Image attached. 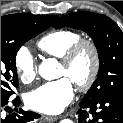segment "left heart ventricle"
<instances>
[{"mask_svg":"<svg viewBox=\"0 0 123 123\" xmlns=\"http://www.w3.org/2000/svg\"><path fill=\"white\" fill-rule=\"evenodd\" d=\"M92 58L88 51H83L70 68L59 66L58 76H65L76 83L84 80L90 72Z\"/></svg>","mask_w":123,"mask_h":123,"instance_id":"1","label":"left heart ventricle"}]
</instances>
